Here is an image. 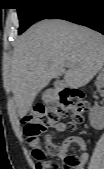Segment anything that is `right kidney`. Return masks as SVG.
I'll list each match as a JSON object with an SVG mask.
<instances>
[{
	"instance_id": "obj_1",
	"label": "right kidney",
	"mask_w": 104,
	"mask_h": 169,
	"mask_svg": "<svg viewBox=\"0 0 104 169\" xmlns=\"http://www.w3.org/2000/svg\"><path fill=\"white\" fill-rule=\"evenodd\" d=\"M104 86V70H102L96 79L97 89H101ZM90 124L93 128L101 130L104 127V113L99 111L98 107H93L89 114Z\"/></svg>"
}]
</instances>
